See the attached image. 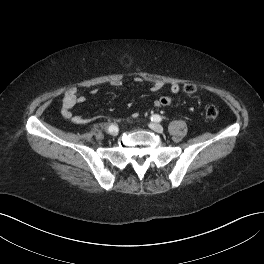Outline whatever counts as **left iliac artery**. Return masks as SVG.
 <instances>
[{
    "instance_id": "44dca946",
    "label": "left iliac artery",
    "mask_w": 264,
    "mask_h": 264,
    "mask_svg": "<svg viewBox=\"0 0 264 264\" xmlns=\"http://www.w3.org/2000/svg\"><path fill=\"white\" fill-rule=\"evenodd\" d=\"M151 120L154 122H160L162 120L161 116L158 114L152 115Z\"/></svg>"
}]
</instances>
